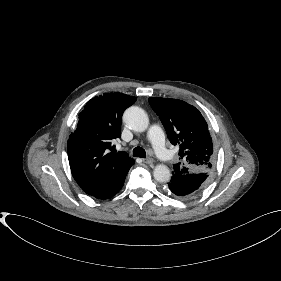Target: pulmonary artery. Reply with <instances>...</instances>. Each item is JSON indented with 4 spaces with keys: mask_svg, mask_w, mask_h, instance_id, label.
Returning <instances> with one entry per match:
<instances>
[{
    "mask_svg": "<svg viewBox=\"0 0 281 281\" xmlns=\"http://www.w3.org/2000/svg\"><path fill=\"white\" fill-rule=\"evenodd\" d=\"M147 136L154 151L160 158L164 160L172 159L173 154L165 146L164 133L159 125H152L148 130Z\"/></svg>",
    "mask_w": 281,
    "mask_h": 281,
    "instance_id": "e3ab8cb5",
    "label": "pulmonary artery"
}]
</instances>
